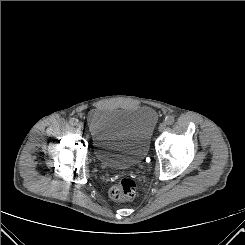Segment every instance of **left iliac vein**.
<instances>
[{
	"label": "left iliac vein",
	"instance_id": "obj_1",
	"mask_svg": "<svg viewBox=\"0 0 245 245\" xmlns=\"http://www.w3.org/2000/svg\"><path fill=\"white\" fill-rule=\"evenodd\" d=\"M165 129H166V123H161V124L159 125V131H160V132H163Z\"/></svg>",
	"mask_w": 245,
	"mask_h": 245
}]
</instances>
